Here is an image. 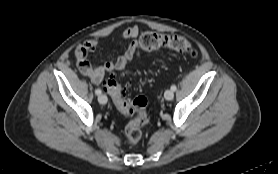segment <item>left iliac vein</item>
I'll return each mask as SVG.
<instances>
[{
	"label": "left iliac vein",
	"instance_id": "obj_1",
	"mask_svg": "<svg viewBox=\"0 0 278 174\" xmlns=\"http://www.w3.org/2000/svg\"><path fill=\"white\" fill-rule=\"evenodd\" d=\"M164 97L166 100L171 101L174 97V93L172 90H166L164 93Z\"/></svg>",
	"mask_w": 278,
	"mask_h": 174
}]
</instances>
